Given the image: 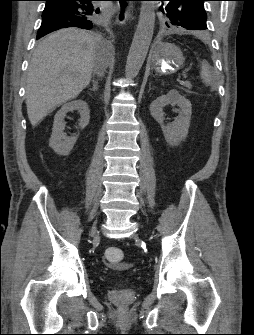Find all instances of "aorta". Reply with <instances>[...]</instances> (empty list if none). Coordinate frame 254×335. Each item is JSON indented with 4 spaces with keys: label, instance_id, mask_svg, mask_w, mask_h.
Returning <instances> with one entry per match:
<instances>
[{
    "label": "aorta",
    "instance_id": "obj_1",
    "mask_svg": "<svg viewBox=\"0 0 254 335\" xmlns=\"http://www.w3.org/2000/svg\"><path fill=\"white\" fill-rule=\"evenodd\" d=\"M155 25V4L142 3L139 21L128 53L125 75L128 79L136 77L145 61L153 37Z\"/></svg>",
    "mask_w": 254,
    "mask_h": 335
}]
</instances>
